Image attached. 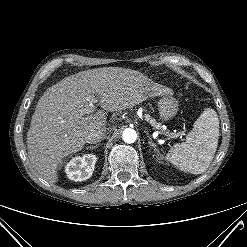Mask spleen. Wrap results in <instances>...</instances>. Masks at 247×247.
Returning <instances> with one entry per match:
<instances>
[{
  "label": "spleen",
  "mask_w": 247,
  "mask_h": 247,
  "mask_svg": "<svg viewBox=\"0 0 247 247\" xmlns=\"http://www.w3.org/2000/svg\"><path fill=\"white\" fill-rule=\"evenodd\" d=\"M218 139V115L214 109L207 108L195 121L185 142L175 144L166 154L165 159L181 171L201 174L214 158Z\"/></svg>",
  "instance_id": "spleen-1"
}]
</instances>
